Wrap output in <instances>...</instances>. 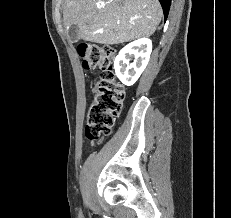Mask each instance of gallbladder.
Returning a JSON list of instances; mask_svg holds the SVG:
<instances>
[{
    "label": "gallbladder",
    "instance_id": "gallbladder-1",
    "mask_svg": "<svg viewBox=\"0 0 231 218\" xmlns=\"http://www.w3.org/2000/svg\"><path fill=\"white\" fill-rule=\"evenodd\" d=\"M77 32H78V27L76 25L70 27L69 36L72 42H77L79 40L77 36Z\"/></svg>",
    "mask_w": 231,
    "mask_h": 218
}]
</instances>
